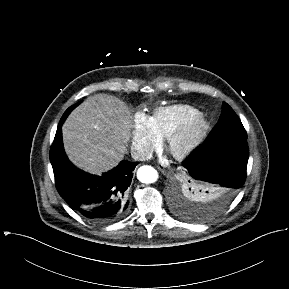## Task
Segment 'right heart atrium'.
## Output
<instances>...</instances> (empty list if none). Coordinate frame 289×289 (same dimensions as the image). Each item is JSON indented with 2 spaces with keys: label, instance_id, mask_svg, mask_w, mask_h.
<instances>
[{
  "label": "right heart atrium",
  "instance_id": "d8ad5b80",
  "mask_svg": "<svg viewBox=\"0 0 289 289\" xmlns=\"http://www.w3.org/2000/svg\"><path fill=\"white\" fill-rule=\"evenodd\" d=\"M161 147V140L154 133L150 118L142 112L133 116L131 125V148L139 159L149 158Z\"/></svg>",
  "mask_w": 289,
  "mask_h": 289
}]
</instances>
